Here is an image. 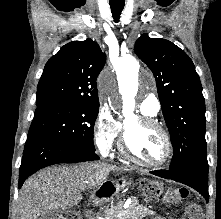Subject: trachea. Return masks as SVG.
<instances>
[{
    "label": "trachea",
    "instance_id": "trachea-1",
    "mask_svg": "<svg viewBox=\"0 0 221 219\" xmlns=\"http://www.w3.org/2000/svg\"><path fill=\"white\" fill-rule=\"evenodd\" d=\"M124 2L110 3V8L112 12V16L115 23L119 22L121 12L124 8Z\"/></svg>",
    "mask_w": 221,
    "mask_h": 219
}]
</instances>
